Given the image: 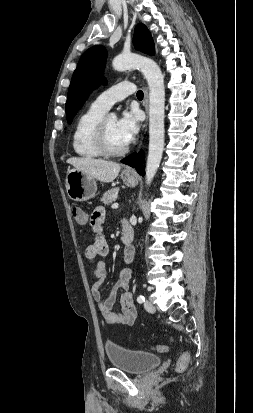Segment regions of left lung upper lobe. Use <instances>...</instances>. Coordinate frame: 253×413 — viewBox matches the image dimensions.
I'll return each instance as SVG.
<instances>
[{
	"label": "left lung upper lobe",
	"instance_id": "5c2ea615",
	"mask_svg": "<svg viewBox=\"0 0 253 413\" xmlns=\"http://www.w3.org/2000/svg\"><path fill=\"white\" fill-rule=\"evenodd\" d=\"M133 43L137 50L149 55L155 54L152 36L144 24L136 26ZM106 58L107 51L100 45L89 48L81 56L72 76L65 105L69 124H71L73 117L88 98V95L100 84H106V80L103 78Z\"/></svg>",
	"mask_w": 253,
	"mask_h": 413
}]
</instances>
